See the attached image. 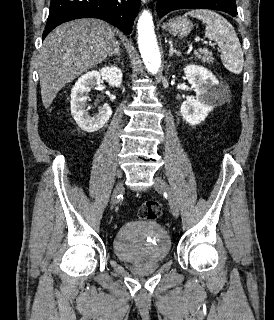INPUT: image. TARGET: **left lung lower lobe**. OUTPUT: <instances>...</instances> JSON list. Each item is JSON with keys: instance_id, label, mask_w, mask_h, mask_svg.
Returning <instances> with one entry per match:
<instances>
[{"instance_id": "1", "label": "left lung lower lobe", "mask_w": 274, "mask_h": 320, "mask_svg": "<svg viewBox=\"0 0 274 320\" xmlns=\"http://www.w3.org/2000/svg\"><path fill=\"white\" fill-rule=\"evenodd\" d=\"M213 9L237 16L235 0H157L156 10L160 18L177 9Z\"/></svg>"}]
</instances>
